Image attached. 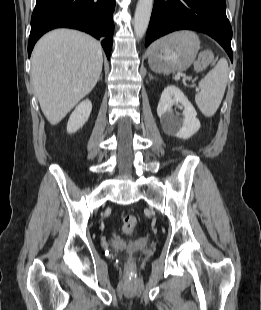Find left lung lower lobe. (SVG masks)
<instances>
[{
	"label": "left lung lower lobe",
	"mask_w": 261,
	"mask_h": 310,
	"mask_svg": "<svg viewBox=\"0 0 261 310\" xmlns=\"http://www.w3.org/2000/svg\"><path fill=\"white\" fill-rule=\"evenodd\" d=\"M225 10V0H154L145 46L176 30H196L219 42L233 61L232 28Z\"/></svg>",
	"instance_id": "1"
}]
</instances>
